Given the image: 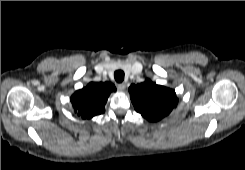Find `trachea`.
<instances>
[{
	"label": "trachea",
	"mask_w": 245,
	"mask_h": 170,
	"mask_svg": "<svg viewBox=\"0 0 245 170\" xmlns=\"http://www.w3.org/2000/svg\"><path fill=\"white\" fill-rule=\"evenodd\" d=\"M114 78L116 82L121 83L124 80V72L122 70L115 71Z\"/></svg>",
	"instance_id": "obj_1"
}]
</instances>
